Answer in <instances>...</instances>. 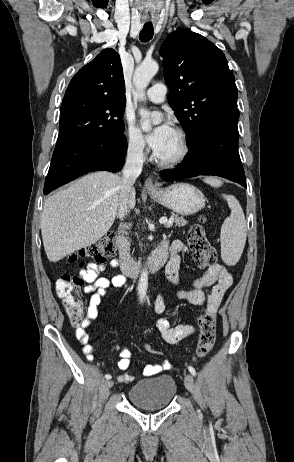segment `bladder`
<instances>
[{
	"instance_id": "obj_1",
	"label": "bladder",
	"mask_w": 294,
	"mask_h": 462,
	"mask_svg": "<svg viewBox=\"0 0 294 462\" xmlns=\"http://www.w3.org/2000/svg\"><path fill=\"white\" fill-rule=\"evenodd\" d=\"M177 394V384L169 374L144 379L133 385L127 398L133 405L143 409L167 407Z\"/></svg>"
}]
</instances>
